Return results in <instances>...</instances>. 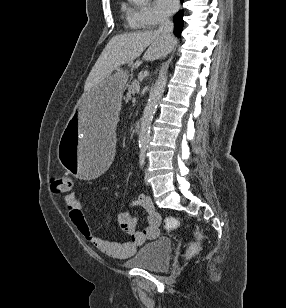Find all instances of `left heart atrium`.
<instances>
[{
	"label": "left heart atrium",
	"instance_id": "obj_1",
	"mask_svg": "<svg viewBox=\"0 0 286 308\" xmlns=\"http://www.w3.org/2000/svg\"><path fill=\"white\" fill-rule=\"evenodd\" d=\"M177 6V0H155L156 9L165 15L173 13L177 9Z\"/></svg>",
	"mask_w": 286,
	"mask_h": 308
}]
</instances>
